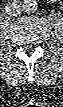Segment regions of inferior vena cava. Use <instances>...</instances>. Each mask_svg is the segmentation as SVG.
<instances>
[{
    "label": "inferior vena cava",
    "mask_w": 63,
    "mask_h": 107,
    "mask_svg": "<svg viewBox=\"0 0 63 107\" xmlns=\"http://www.w3.org/2000/svg\"><path fill=\"white\" fill-rule=\"evenodd\" d=\"M6 12L10 16H17L22 11V5L18 0L9 1L6 4Z\"/></svg>",
    "instance_id": "obj_1"
}]
</instances>
